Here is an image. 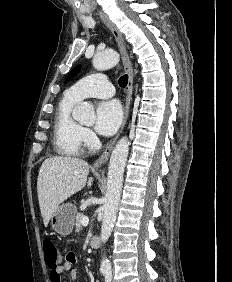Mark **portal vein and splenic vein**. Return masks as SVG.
Listing matches in <instances>:
<instances>
[{"instance_id": "1", "label": "portal vein and splenic vein", "mask_w": 232, "mask_h": 282, "mask_svg": "<svg viewBox=\"0 0 232 282\" xmlns=\"http://www.w3.org/2000/svg\"><path fill=\"white\" fill-rule=\"evenodd\" d=\"M81 223H82L83 226H87L88 223H89L88 217H87V216H84V217L82 218V220H81Z\"/></svg>"}]
</instances>
